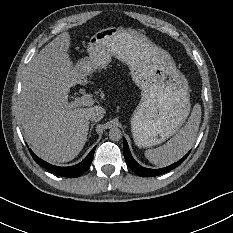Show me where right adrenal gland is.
I'll return each mask as SVG.
<instances>
[{"label":"right adrenal gland","mask_w":233,"mask_h":233,"mask_svg":"<svg viewBox=\"0 0 233 233\" xmlns=\"http://www.w3.org/2000/svg\"><path fill=\"white\" fill-rule=\"evenodd\" d=\"M95 125V123H92L91 124V126H90V131H89V138H88V140L90 139V137H91V134H92V130H93V126Z\"/></svg>","instance_id":"2a0ac1e0"}]
</instances>
